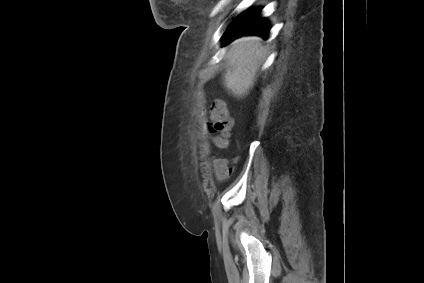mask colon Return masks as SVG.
<instances>
[{
  "label": "colon",
  "mask_w": 424,
  "mask_h": 283,
  "mask_svg": "<svg viewBox=\"0 0 424 283\" xmlns=\"http://www.w3.org/2000/svg\"><path fill=\"white\" fill-rule=\"evenodd\" d=\"M208 114L212 123L208 127L209 135L213 143L220 148L226 147L232 119L227 109L221 103H213Z\"/></svg>",
  "instance_id": "colon-1"
}]
</instances>
